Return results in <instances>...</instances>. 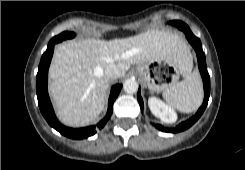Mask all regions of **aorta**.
<instances>
[{"instance_id":"1","label":"aorta","mask_w":245,"mask_h":170,"mask_svg":"<svg viewBox=\"0 0 245 170\" xmlns=\"http://www.w3.org/2000/svg\"><path fill=\"white\" fill-rule=\"evenodd\" d=\"M123 89L125 92L133 94L138 90V83L135 79H127L123 83Z\"/></svg>"}]
</instances>
